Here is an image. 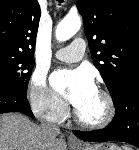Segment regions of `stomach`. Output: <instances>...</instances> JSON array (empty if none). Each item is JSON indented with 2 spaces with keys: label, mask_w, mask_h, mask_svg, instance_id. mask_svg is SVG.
<instances>
[{
  "label": "stomach",
  "mask_w": 139,
  "mask_h": 150,
  "mask_svg": "<svg viewBox=\"0 0 139 150\" xmlns=\"http://www.w3.org/2000/svg\"><path fill=\"white\" fill-rule=\"evenodd\" d=\"M72 150H120V149L111 143H100L86 147L72 146Z\"/></svg>",
  "instance_id": "obj_1"
}]
</instances>
